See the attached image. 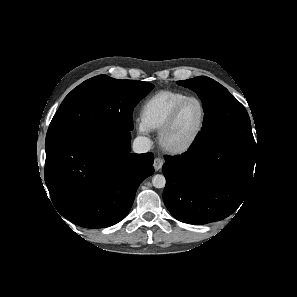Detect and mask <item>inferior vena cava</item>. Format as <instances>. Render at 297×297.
I'll return each mask as SVG.
<instances>
[{
	"instance_id": "obj_1",
	"label": "inferior vena cava",
	"mask_w": 297,
	"mask_h": 297,
	"mask_svg": "<svg viewBox=\"0 0 297 297\" xmlns=\"http://www.w3.org/2000/svg\"><path fill=\"white\" fill-rule=\"evenodd\" d=\"M132 149L134 153H146L151 149V141L144 136H138L134 139Z\"/></svg>"
}]
</instances>
